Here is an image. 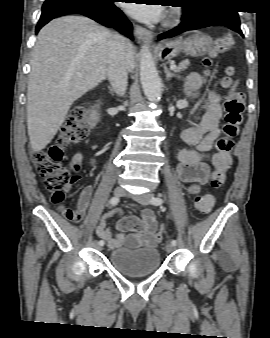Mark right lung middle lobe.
<instances>
[{
  "mask_svg": "<svg viewBox=\"0 0 270 338\" xmlns=\"http://www.w3.org/2000/svg\"><path fill=\"white\" fill-rule=\"evenodd\" d=\"M97 1H109V0H97Z\"/></svg>",
  "mask_w": 270,
  "mask_h": 338,
  "instance_id": "obj_1",
  "label": "right lung middle lobe"
}]
</instances>
